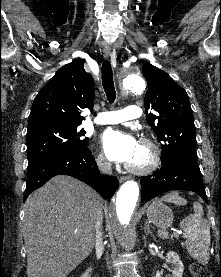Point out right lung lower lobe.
<instances>
[{
  "mask_svg": "<svg viewBox=\"0 0 221 277\" xmlns=\"http://www.w3.org/2000/svg\"><path fill=\"white\" fill-rule=\"evenodd\" d=\"M56 175L75 177L94 188L104 199L111 198L119 186L116 177L100 176L89 147H85L28 168L24 201L32 191Z\"/></svg>",
  "mask_w": 221,
  "mask_h": 277,
  "instance_id": "obj_1",
  "label": "right lung lower lobe"
}]
</instances>
